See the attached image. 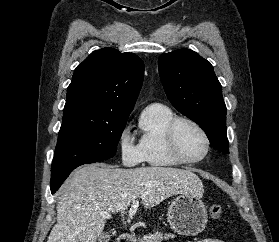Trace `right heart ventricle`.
<instances>
[{
  "label": "right heart ventricle",
  "instance_id": "right-heart-ventricle-1",
  "mask_svg": "<svg viewBox=\"0 0 279 242\" xmlns=\"http://www.w3.org/2000/svg\"><path fill=\"white\" fill-rule=\"evenodd\" d=\"M175 117L170 108L161 104H152L141 114L138 145L144 161L150 166L174 167L180 164L169 152L165 138L167 126Z\"/></svg>",
  "mask_w": 279,
  "mask_h": 242
}]
</instances>
